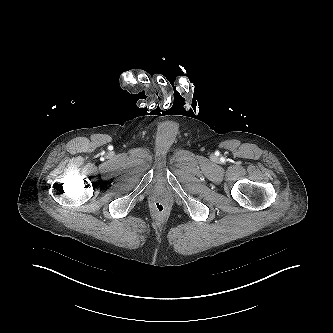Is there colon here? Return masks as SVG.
I'll return each mask as SVG.
<instances>
[{"mask_svg":"<svg viewBox=\"0 0 333 333\" xmlns=\"http://www.w3.org/2000/svg\"><path fill=\"white\" fill-rule=\"evenodd\" d=\"M166 204L161 201V200H158L154 203V209L158 212V213H163L166 211Z\"/></svg>","mask_w":333,"mask_h":333,"instance_id":"obj_1","label":"colon"}]
</instances>
